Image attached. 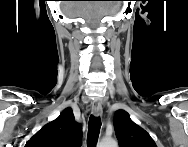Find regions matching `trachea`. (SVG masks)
Listing matches in <instances>:
<instances>
[{"label": "trachea", "instance_id": "3493384b", "mask_svg": "<svg viewBox=\"0 0 188 147\" xmlns=\"http://www.w3.org/2000/svg\"><path fill=\"white\" fill-rule=\"evenodd\" d=\"M100 128H101L100 118L91 115L88 124V136H87L88 147H96Z\"/></svg>", "mask_w": 188, "mask_h": 147}]
</instances>
